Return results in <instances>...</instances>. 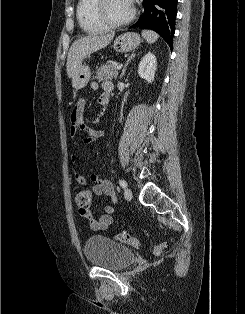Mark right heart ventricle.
I'll return each instance as SVG.
<instances>
[{"label": "right heart ventricle", "mask_w": 245, "mask_h": 314, "mask_svg": "<svg viewBox=\"0 0 245 314\" xmlns=\"http://www.w3.org/2000/svg\"><path fill=\"white\" fill-rule=\"evenodd\" d=\"M96 0H79L77 4V19L83 31L100 33L108 30L95 17L94 7Z\"/></svg>", "instance_id": "right-heart-ventricle-1"}]
</instances>
